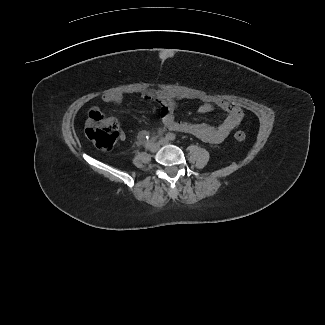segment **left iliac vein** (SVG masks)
<instances>
[{"instance_id": "4c4485c4", "label": "left iliac vein", "mask_w": 325, "mask_h": 325, "mask_svg": "<svg viewBox=\"0 0 325 325\" xmlns=\"http://www.w3.org/2000/svg\"><path fill=\"white\" fill-rule=\"evenodd\" d=\"M168 139H166V138H162L161 140H160V144L161 145H166V144H168Z\"/></svg>"}]
</instances>
